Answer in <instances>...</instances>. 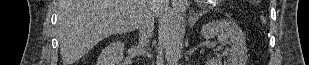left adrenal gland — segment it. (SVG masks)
<instances>
[{"mask_svg": "<svg viewBox=\"0 0 309 65\" xmlns=\"http://www.w3.org/2000/svg\"><path fill=\"white\" fill-rule=\"evenodd\" d=\"M201 16H202V13H198V14H194V15L192 13L191 16H190V19H189L190 27H193Z\"/></svg>", "mask_w": 309, "mask_h": 65, "instance_id": "obj_1", "label": "left adrenal gland"}]
</instances>
